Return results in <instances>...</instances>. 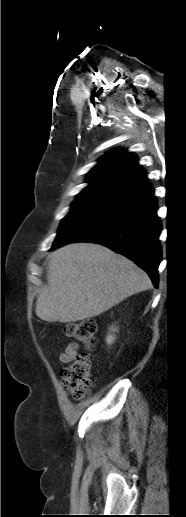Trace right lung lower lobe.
Listing matches in <instances>:
<instances>
[{"instance_id": "98d812e1", "label": "right lung lower lobe", "mask_w": 186, "mask_h": 517, "mask_svg": "<svg viewBox=\"0 0 186 517\" xmlns=\"http://www.w3.org/2000/svg\"><path fill=\"white\" fill-rule=\"evenodd\" d=\"M160 232L156 198L149 186L116 202L51 250L71 242L102 244L134 261L157 287L162 257Z\"/></svg>"}]
</instances>
